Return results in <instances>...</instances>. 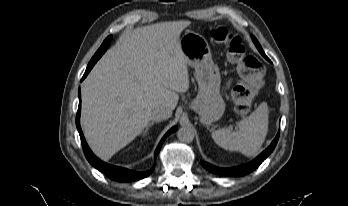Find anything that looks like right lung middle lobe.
Listing matches in <instances>:
<instances>
[{
  "label": "right lung middle lobe",
  "mask_w": 348,
  "mask_h": 206,
  "mask_svg": "<svg viewBox=\"0 0 348 206\" xmlns=\"http://www.w3.org/2000/svg\"><path fill=\"white\" fill-rule=\"evenodd\" d=\"M111 38H112L111 36L107 37V38L104 40L103 44H104V45H105V44H109Z\"/></svg>",
  "instance_id": "dd1d6c3e"
}]
</instances>
